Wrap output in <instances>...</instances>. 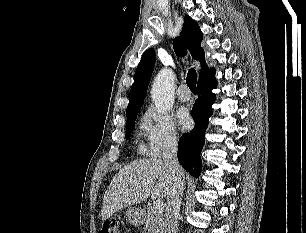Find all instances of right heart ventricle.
I'll use <instances>...</instances> for the list:
<instances>
[{
	"label": "right heart ventricle",
	"mask_w": 306,
	"mask_h": 233,
	"mask_svg": "<svg viewBox=\"0 0 306 233\" xmlns=\"http://www.w3.org/2000/svg\"><path fill=\"white\" fill-rule=\"evenodd\" d=\"M139 151H140V152H143V151H144V147H143L142 144L139 145Z\"/></svg>",
	"instance_id": "right-heart-ventricle-1"
}]
</instances>
